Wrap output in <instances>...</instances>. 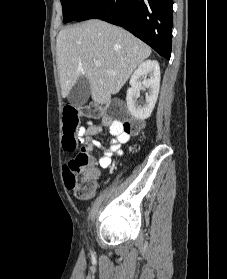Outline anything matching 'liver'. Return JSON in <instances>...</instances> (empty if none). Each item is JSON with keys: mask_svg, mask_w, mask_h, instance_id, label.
I'll return each instance as SVG.
<instances>
[{"mask_svg": "<svg viewBox=\"0 0 227 279\" xmlns=\"http://www.w3.org/2000/svg\"><path fill=\"white\" fill-rule=\"evenodd\" d=\"M62 97L80 76L90 83L94 102L109 105L151 49L121 27L91 19L62 29L56 41ZM94 61H100L96 67ZM113 71L115 74L109 73Z\"/></svg>", "mask_w": 227, "mask_h": 279, "instance_id": "liver-1", "label": "liver"}]
</instances>
